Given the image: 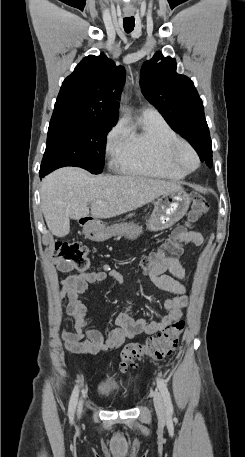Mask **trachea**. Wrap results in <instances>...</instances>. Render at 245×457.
Wrapping results in <instances>:
<instances>
[{
  "label": "trachea",
  "mask_w": 245,
  "mask_h": 457,
  "mask_svg": "<svg viewBox=\"0 0 245 457\" xmlns=\"http://www.w3.org/2000/svg\"><path fill=\"white\" fill-rule=\"evenodd\" d=\"M134 17L130 16V17H125L123 19V26H124V30L125 32L127 33H130L132 32V30L134 29Z\"/></svg>",
  "instance_id": "3493384b"
}]
</instances>
